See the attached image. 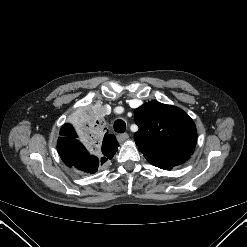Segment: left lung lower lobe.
<instances>
[{"label":"left lung lower lobe","mask_w":247,"mask_h":247,"mask_svg":"<svg viewBox=\"0 0 247 247\" xmlns=\"http://www.w3.org/2000/svg\"><path fill=\"white\" fill-rule=\"evenodd\" d=\"M157 167L165 170H170L171 168H173V166H157Z\"/></svg>","instance_id":"left-lung-lower-lobe-1"}]
</instances>
